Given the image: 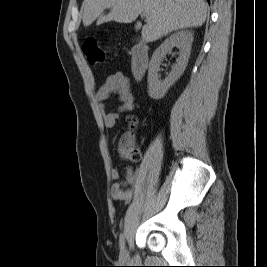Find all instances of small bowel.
Listing matches in <instances>:
<instances>
[{
	"label": "small bowel",
	"instance_id": "obj_1",
	"mask_svg": "<svg viewBox=\"0 0 267 267\" xmlns=\"http://www.w3.org/2000/svg\"><path fill=\"white\" fill-rule=\"evenodd\" d=\"M117 94L121 102L118 112H129L134 109L135 98L132 93L129 79L122 73L110 75L104 84L96 93V99L100 103L103 112V121L106 128H114L119 117L118 112H106L104 102L112 95ZM111 176L115 180L112 185L111 194L114 200L129 202L133 196V190L130 188L136 181V176L132 169L128 168L124 179L121 180V174L117 169L111 171Z\"/></svg>",
	"mask_w": 267,
	"mask_h": 267
}]
</instances>
